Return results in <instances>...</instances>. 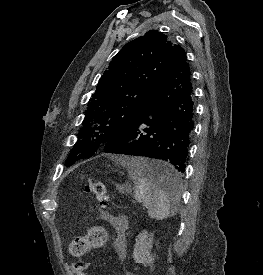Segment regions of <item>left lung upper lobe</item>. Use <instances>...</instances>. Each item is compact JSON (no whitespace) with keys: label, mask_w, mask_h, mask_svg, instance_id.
Instances as JSON below:
<instances>
[{"label":"left lung upper lobe","mask_w":263,"mask_h":275,"mask_svg":"<svg viewBox=\"0 0 263 275\" xmlns=\"http://www.w3.org/2000/svg\"><path fill=\"white\" fill-rule=\"evenodd\" d=\"M179 45L157 30L127 43L112 59L88 102L79 141L66 166L89 158L128 130L160 86Z\"/></svg>","instance_id":"1"}]
</instances>
